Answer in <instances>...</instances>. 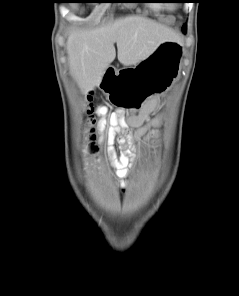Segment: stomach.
<instances>
[{
    "label": "stomach",
    "mask_w": 239,
    "mask_h": 296,
    "mask_svg": "<svg viewBox=\"0 0 239 296\" xmlns=\"http://www.w3.org/2000/svg\"><path fill=\"white\" fill-rule=\"evenodd\" d=\"M183 54L179 41L168 40L160 43L147 58L133 69H119L115 84H152L155 85H100V90L109 94V101L123 111H140L146 98L153 94H164L171 90L169 85L177 75Z\"/></svg>",
    "instance_id": "0dacf381"
}]
</instances>
